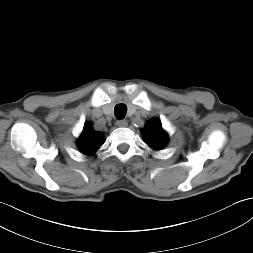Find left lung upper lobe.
Wrapping results in <instances>:
<instances>
[{"label": "left lung upper lobe", "mask_w": 253, "mask_h": 253, "mask_svg": "<svg viewBox=\"0 0 253 253\" xmlns=\"http://www.w3.org/2000/svg\"><path fill=\"white\" fill-rule=\"evenodd\" d=\"M144 141L154 149H162L167 141V133L163 130L159 119H151L142 130Z\"/></svg>", "instance_id": "left-lung-upper-lobe-1"}]
</instances>
